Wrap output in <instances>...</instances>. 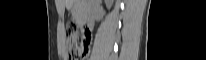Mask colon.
<instances>
[{
    "label": "colon",
    "instance_id": "1",
    "mask_svg": "<svg viewBox=\"0 0 206 60\" xmlns=\"http://www.w3.org/2000/svg\"><path fill=\"white\" fill-rule=\"evenodd\" d=\"M67 56L69 60H80L88 50L89 35L80 33L75 24L66 28Z\"/></svg>",
    "mask_w": 206,
    "mask_h": 60
}]
</instances>
